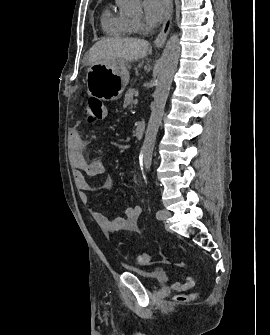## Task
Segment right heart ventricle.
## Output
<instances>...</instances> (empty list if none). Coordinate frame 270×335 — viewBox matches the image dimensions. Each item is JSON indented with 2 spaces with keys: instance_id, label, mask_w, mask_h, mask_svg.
Masks as SVG:
<instances>
[{
  "instance_id": "1",
  "label": "right heart ventricle",
  "mask_w": 270,
  "mask_h": 335,
  "mask_svg": "<svg viewBox=\"0 0 270 335\" xmlns=\"http://www.w3.org/2000/svg\"><path fill=\"white\" fill-rule=\"evenodd\" d=\"M101 25L108 35L125 36L133 33V21L110 7L103 11Z\"/></svg>"
}]
</instances>
